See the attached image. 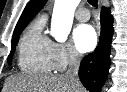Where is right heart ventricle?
Returning <instances> with one entry per match:
<instances>
[{
	"label": "right heart ventricle",
	"mask_w": 127,
	"mask_h": 92,
	"mask_svg": "<svg viewBox=\"0 0 127 92\" xmlns=\"http://www.w3.org/2000/svg\"><path fill=\"white\" fill-rule=\"evenodd\" d=\"M45 18L34 20L22 35L18 46V66L30 74H49L55 70L52 61L53 42L44 32Z\"/></svg>",
	"instance_id": "e07e8e85"
}]
</instances>
